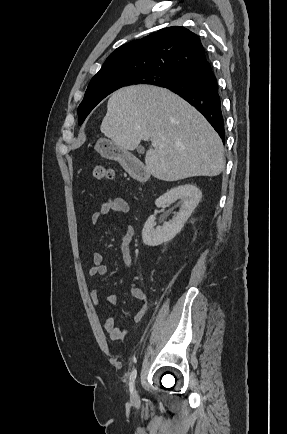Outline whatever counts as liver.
Wrapping results in <instances>:
<instances>
[{
    "mask_svg": "<svg viewBox=\"0 0 287 434\" xmlns=\"http://www.w3.org/2000/svg\"><path fill=\"white\" fill-rule=\"evenodd\" d=\"M100 130L130 151L141 140L157 141L147 150L145 164L159 180L213 177L224 169L219 135L194 107L164 88L138 85L114 92Z\"/></svg>",
    "mask_w": 287,
    "mask_h": 434,
    "instance_id": "6515ba94",
    "label": "liver"
}]
</instances>
